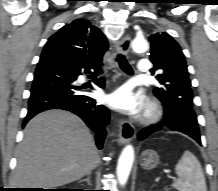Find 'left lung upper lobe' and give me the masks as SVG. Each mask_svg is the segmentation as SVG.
<instances>
[{
    "label": "left lung upper lobe",
    "instance_id": "1",
    "mask_svg": "<svg viewBox=\"0 0 218 191\" xmlns=\"http://www.w3.org/2000/svg\"><path fill=\"white\" fill-rule=\"evenodd\" d=\"M151 42L150 61L154 64L151 72L160 69L156 76L160 87H155L154 94L162 101L165 117L173 121L181 113L180 106H187L193 118L183 123L190 130L198 129L196 115L192 109L193 93L184 54L178 43L167 33L158 32L149 37Z\"/></svg>",
    "mask_w": 218,
    "mask_h": 191
}]
</instances>
